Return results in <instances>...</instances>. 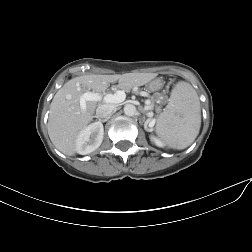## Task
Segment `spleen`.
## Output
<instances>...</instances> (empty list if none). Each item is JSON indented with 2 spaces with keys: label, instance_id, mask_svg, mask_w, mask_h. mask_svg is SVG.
Returning a JSON list of instances; mask_svg holds the SVG:
<instances>
[{
  "label": "spleen",
  "instance_id": "3e777b00",
  "mask_svg": "<svg viewBox=\"0 0 252 252\" xmlns=\"http://www.w3.org/2000/svg\"><path fill=\"white\" fill-rule=\"evenodd\" d=\"M201 126L200 102L193 87L178 82L169 103L157 119L155 131L173 149H185L194 142Z\"/></svg>",
  "mask_w": 252,
  "mask_h": 252
}]
</instances>
